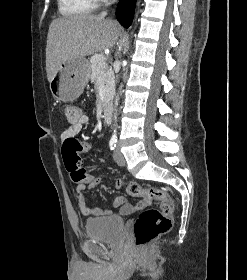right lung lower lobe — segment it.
<instances>
[{
  "mask_svg": "<svg viewBox=\"0 0 247 280\" xmlns=\"http://www.w3.org/2000/svg\"><path fill=\"white\" fill-rule=\"evenodd\" d=\"M136 0H120L116 10V16L120 23L128 28L133 20Z\"/></svg>",
  "mask_w": 247,
  "mask_h": 280,
  "instance_id": "98d812e1",
  "label": "right lung lower lobe"
}]
</instances>
